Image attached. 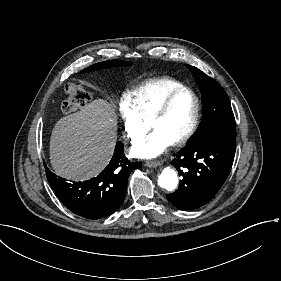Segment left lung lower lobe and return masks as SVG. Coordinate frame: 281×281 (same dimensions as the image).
Masks as SVG:
<instances>
[{"mask_svg": "<svg viewBox=\"0 0 281 281\" xmlns=\"http://www.w3.org/2000/svg\"><path fill=\"white\" fill-rule=\"evenodd\" d=\"M235 150V141L217 136L191 140L172 162L183 179L178 189L167 195L169 202L183 210L208 203L227 179Z\"/></svg>", "mask_w": 281, "mask_h": 281, "instance_id": "obj_1", "label": "left lung lower lobe"}]
</instances>
